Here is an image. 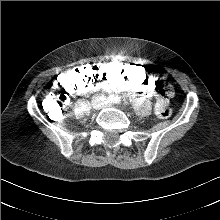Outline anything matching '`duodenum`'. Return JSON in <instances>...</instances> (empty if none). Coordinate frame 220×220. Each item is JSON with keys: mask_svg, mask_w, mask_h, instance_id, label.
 Segmentation results:
<instances>
[{"mask_svg": "<svg viewBox=\"0 0 220 220\" xmlns=\"http://www.w3.org/2000/svg\"><path fill=\"white\" fill-rule=\"evenodd\" d=\"M100 88H102V89H104L105 90V88H103L102 86H99V87H97V86H87L86 88H85V92H93V91H98Z\"/></svg>", "mask_w": 220, "mask_h": 220, "instance_id": "410a0bca", "label": "duodenum"}]
</instances>
